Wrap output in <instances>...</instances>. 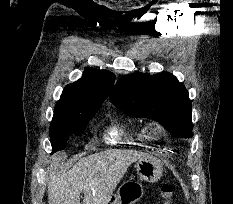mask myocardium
Here are the masks:
<instances>
[{
  "instance_id": "myocardium-1",
  "label": "myocardium",
  "mask_w": 233,
  "mask_h": 204,
  "mask_svg": "<svg viewBox=\"0 0 233 204\" xmlns=\"http://www.w3.org/2000/svg\"><path fill=\"white\" fill-rule=\"evenodd\" d=\"M146 131L150 136L158 137L164 134L165 129L160 123L150 122L146 125Z\"/></svg>"
}]
</instances>
